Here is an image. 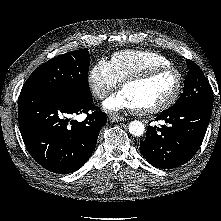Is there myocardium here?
Wrapping results in <instances>:
<instances>
[{
    "label": "myocardium",
    "instance_id": "f54148a6",
    "mask_svg": "<svg viewBox=\"0 0 221 221\" xmlns=\"http://www.w3.org/2000/svg\"><path fill=\"white\" fill-rule=\"evenodd\" d=\"M164 73H174L177 77V85L173 94L168 99H166L165 101H163L162 103L158 105L145 108V109L136 110L138 114L152 115V114L161 113L167 110L168 108H170L178 100L179 96L182 93V89L184 85L183 75L177 68L172 67V66L154 67V68H150L142 72L133 74L125 78L122 81L121 89L123 90L124 87H126L129 84L144 82Z\"/></svg>",
    "mask_w": 221,
    "mask_h": 221
}]
</instances>
